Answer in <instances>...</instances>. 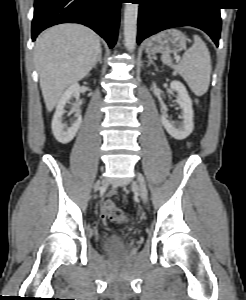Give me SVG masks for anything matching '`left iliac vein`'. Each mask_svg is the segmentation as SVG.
Instances as JSON below:
<instances>
[{"instance_id": "1", "label": "left iliac vein", "mask_w": 246, "mask_h": 300, "mask_svg": "<svg viewBox=\"0 0 246 300\" xmlns=\"http://www.w3.org/2000/svg\"><path fill=\"white\" fill-rule=\"evenodd\" d=\"M136 176H137V181L136 183H134V185H137L141 199L143 200L144 203H146L147 189H146L144 177L140 173H137Z\"/></svg>"}]
</instances>
